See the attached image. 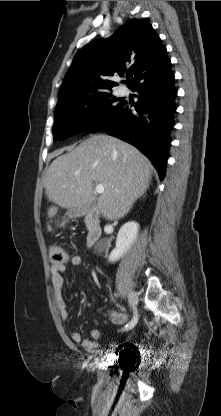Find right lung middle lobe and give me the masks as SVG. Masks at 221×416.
Instances as JSON below:
<instances>
[{"label": "right lung middle lobe", "instance_id": "1", "mask_svg": "<svg viewBox=\"0 0 221 416\" xmlns=\"http://www.w3.org/2000/svg\"><path fill=\"white\" fill-rule=\"evenodd\" d=\"M121 102V98L108 91L58 104L54 115V141L64 140L79 132L98 131L111 120Z\"/></svg>", "mask_w": 221, "mask_h": 416}]
</instances>
